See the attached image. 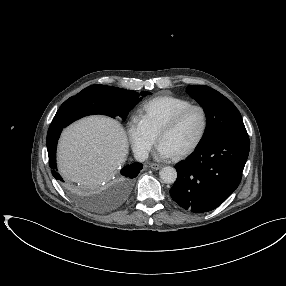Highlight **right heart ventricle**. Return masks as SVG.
Returning <instances> with one entry per match:
<instances>
[{"label":"right heart ventricle","instance_id":"1","mask_svg":"<svg viewBox=\"0 0 286 286\" xmlns=\"http://www.w3.org/2000/svg\"><path fill=\"white\" fill-rule=\"evenodd\" d=\"M191 104L188 99L177 96H157L143 103L140 109V117L148 128L157 135L160 127L168 119Z\"/></svg>","mask_w":286,"mask_h":286}]
</instances>
